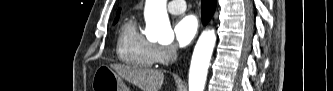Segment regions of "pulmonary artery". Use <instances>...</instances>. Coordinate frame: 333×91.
<instances>
[{
	"label": "pulmonary artery",
	"instance_id": "pulmonary-artery-1",
	"mask_svg": "<svg viewBox=\"0 0 333 91\" xmlns=\"http://www.w3.org/2000/svg\"><path fill=\"white\" fill-rule=\"evenodd\" d=\"M186 10L184 0H173L168 3V11L172 14H180Z\"/></svg>",
	"mask_w": 333,
	"mask_h": 91
}]
</instances>
